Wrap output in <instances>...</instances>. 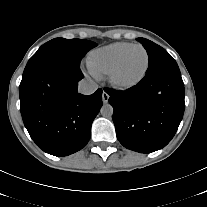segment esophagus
Returning a JSON list of instances; mask_svg holds the SVG:
<instances>
[{"label": "esophagus", "mask_w": 207, "mask_h": 207, "mask_svg": "<svg viewBox=\"0 0 207 207\" xmlns=\"http://www.w3.org/2000/svg\"><path fill=\"white\" fill-rule=\"evenodd\" d=\"M109 97H110L109 94L107 92L103 91V93H102V101H103L104 104H106L108 102Z\"/></svg>", "instance_id": "34e87169"}]
</instances>
